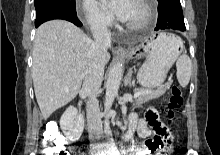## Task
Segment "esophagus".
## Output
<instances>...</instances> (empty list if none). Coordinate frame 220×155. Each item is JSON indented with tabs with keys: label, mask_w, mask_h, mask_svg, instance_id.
<instances>
[{
	"label": "esophagus",
	"mask_w": 220,
	"mask_h": 155,
	"mask_svg": "<svg viewBox=\"0 0 220 155\" xmlns=\"http://www.w3.org/2000/svg\"><path fill=\"white\" fill-rule=\"evenodd\" d=\"M114 52H116V53H124L125 49L123 47H121V46H116L114 48Z\"/></svg>",
	"instance_id": "34e87169"
}]
</instances>
